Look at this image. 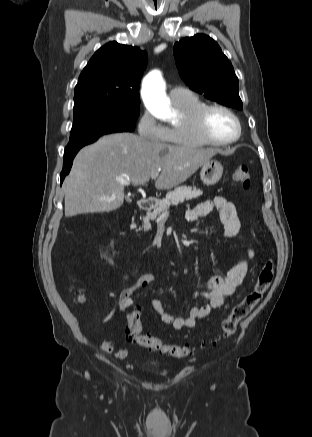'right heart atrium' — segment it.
Instances as JSON below:
<instances>
[{
	"label": "right heart atrium",
	"mask_w": 312,
	"mask_h": 437,
	"mask_svg": "<svg viewBox=\"0 0 312 437\" xmlns=\"http://www.w3.org/2000/svg\"><path fill=\"white\" fill-rule=\"evenodd\" d=\"M137 128L140 137L148 141L164 142L167 136V127L158 122L149 111L141 114Z\"/></svg>",
	"instance_id": "right-heart-atrium-1"
}]
</instances>
